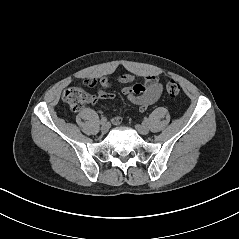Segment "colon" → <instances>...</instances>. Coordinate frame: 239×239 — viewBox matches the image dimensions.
I'll list each match as a JSON object with an SVG mask.
<instances>
[{"label":"colon","instance_id":"obj_1","mask_svg":"<svg viewBox=\"0 0 239 239\" xmlns=\"http://www.w3.org/2000/svg\"><path fill=\"white\" fill-rule=\"evenodd\" d=\"M94 85V82L91 81V83L86 86L93 87ZM166 91L170 96L176 97L180 94V85L174 80H169L166 82ZM89 99V95L81 87L78 86L68 88L63 93L64 102L73 111L81 109L89 101Z\"/></svg>","mask_w":239,"mask_h":239}]
</instances>
